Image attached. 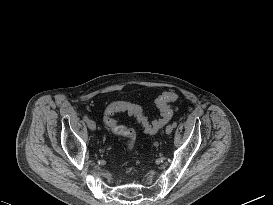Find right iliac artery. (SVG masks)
<instances>
[{"label":"right iliac artery","mask_w":273,"mask_h":205,"mask_svg":"<svg viewBox=\"0 0 273 205\" xmlns=\"http://www.w3.org/2000/svg\"><path fill=\"white\" fill-rule=\"evenodd\" d=\"M83 119H84L85 122H87V121L89 120V118H88L87 115H84V116H83Z\"/></svg>","instance_id":"right-iliac-artery-1"}]
</instances>
